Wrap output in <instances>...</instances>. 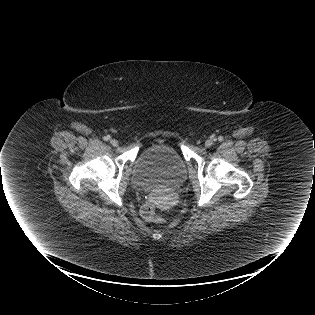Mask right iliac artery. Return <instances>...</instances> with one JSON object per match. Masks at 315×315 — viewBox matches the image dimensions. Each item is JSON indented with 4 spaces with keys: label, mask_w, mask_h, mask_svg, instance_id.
I'll list each match as a JSON object with an SVG mask.
<instances>
[{
    "label": "right iliac artery",
    "mask_w": 315,
    "mask_h": 315,
    "mask_svg": "<svg viewBox=\"0 0 315 315\" xmlns=\"http://www.w3.org/2000/svg\"><path fill=\"white\" fill-rule=\"evenodd\" d=\"M103 139H104L105 141H108V140H110V136L107 135V136H105Z\"/></svg>",
    "instance_id": "1"
}]
</instances>
